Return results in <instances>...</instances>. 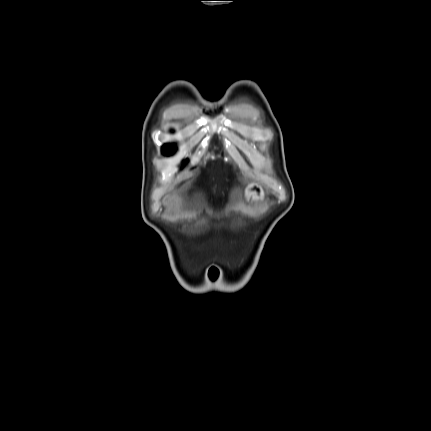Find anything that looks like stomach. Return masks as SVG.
<instances>
[{"label":"stomach","instance_id":"stomach-1","mask_svg":"<svg viewBox=\"0 0 431 431\" xmlns=\"http://www.w3.org/2000/svg\"><path fill=\"white\" fill-rule=\"evenodd\" d=\"M247 196L251 197L254 200L263 199L264 192L259 186L251 185L247 189Z\"/></svg>","mask_w":431,"mask_h":431}]
</instances>
